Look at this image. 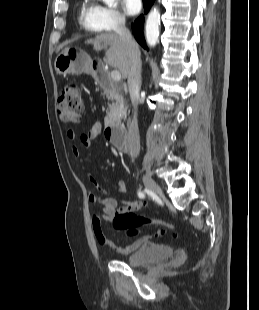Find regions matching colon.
<instances>
[{
    "instance_id": "colon-1",
    "label": "colon",
    "mask_w": 259,
    "mask_h": 310,
    "mask_svg": "<svg viewBox=\"0 0 259 310\" xmlns=\"http://www.w3.org/2000/svg\"><path fill=\"white\" fill-rule=\"evenodd\" d=\"M83 101L79 87L69 83L62 89L58 99L57 111L60 118L66 122L79 121L83 114ZM115 231L125 232L128 236H136L139 229L145 225L161 227L156 231V236L165 237V229H173L174 225L166 220L148 218L138 215L133 211H124L116 214L112 220Z\"/></svg>"
}]
</instances>
